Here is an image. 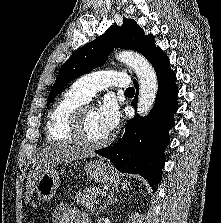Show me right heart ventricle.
<instances>
[{
	"label": "right heart ventricle",
	"mask_w": 221,
	"mask_h": 223,
	"mask_svg": "<svg viewBox=\"0 0 221 223\" xmlns=\"http://www.w3.org/2000/svg\"><path fill=\"white\" fill-rule=\"evenodd\" d=\"M80 95L71 88L61 93L50 109L45 123V135L49 142L72 143L69 125L76 109L84 104Z\"/></svg>",
	"instance_id": "1"
}]
</instances>
